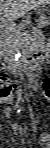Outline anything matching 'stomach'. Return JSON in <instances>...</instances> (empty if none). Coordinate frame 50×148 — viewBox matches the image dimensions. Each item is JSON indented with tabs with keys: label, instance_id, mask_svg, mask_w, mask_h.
<instances>
[{
	"label": "stomach",
	"instance_id": "stomach-1",
	"mask_svg": "<svg viewBox=\"0 0 50 148\" xmlns=\"http://www.w3.org/2000/svg\"><path fill=\"white\" fill-rule=\"evenodd\" d=\"M39 13L38 25L40 27L48 25L50 23V3H45Z\"/></svg>",
	"mask_w": 50,
	"mask_h": 148
}]
</instances>
